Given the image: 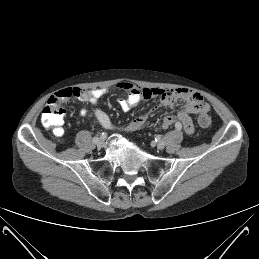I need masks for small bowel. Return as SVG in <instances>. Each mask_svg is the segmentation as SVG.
<instances>
[{
  "mask_svg": "<svg viewBox=\"0 0 259 259\" xmlns=\"http://www.w3.org/2000/svg\"><path fill=\"white\" fill-rule=\"evenodd\" d=\"M116 87L119 90L127 92L126 98H121L118 100V105L124 112L136 107L141 101L151 98H158L160 101V106L169 107H174L178 100H183L185 103L176 115H166L162 119L160 126L164 130L168 129L175 123H180L187 134H192L194 131V125L191 115L209 109L208 104L204 102L202 96L189 88H142L130 82H120L116 85ZM107 92L108 89L105 88L91 90H85L82 88H67L58 91L52 98L65 101L69 97H75L81 101H88L92 105L96 106L99 99L102 98ZM154 111L155 110H152L138 116L124 126L123 129L130 132L141 129L146 125L150 115ZM79 113L80 116L89 117L106 129L114 128L109 115L98 107H94L91 112L87 109H81Z\"/></svg>",
  "mask_w": 259,
  "mask_h": 259,
  "instance_id": "obj_1",
  "label": "small bowel"
}]
</instances>
